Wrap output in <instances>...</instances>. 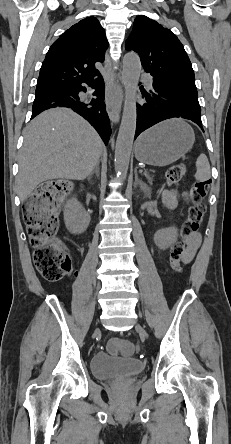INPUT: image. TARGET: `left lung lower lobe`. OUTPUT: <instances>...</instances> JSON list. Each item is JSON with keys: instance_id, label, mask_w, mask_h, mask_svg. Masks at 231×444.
Wrapping results in <instances>:
<instances>
[{"instance_id": "0a47b994", "label": "left lung lower lobe", "mask_w": 231, "mask_h": 444, "mask_svg": "<svg viewBox=\"0 0 231 444\" xmlns=\"http://www.w3.org/2000/svg\"><path fill=\"white\" fill-rule=\"evenodd\" d=\"M144 103L137 104L135 138L154 124L169 118L182 117L197 123L201 129V108L198 95L186 94L157 83L153 78L150 91L142 90Z\"/></svg>"}]
</instances>
